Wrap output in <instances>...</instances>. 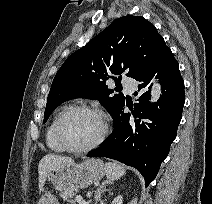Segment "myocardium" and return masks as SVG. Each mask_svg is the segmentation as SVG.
<instances>
[{"label":"myocardium","instance_id":"1","mask_svg":"<svg viewBox=\"0 0 212 204\" xmlns=\"http://www.w3.org/2000/svg\"><path fill=\"white\" fill-rule=\"evenodd\" d=\"M74 111H86L93 113L98 116L101 122V131L98 135V137L89 145L84 146V147H72L70 146L64 139L62 132H61V125L64 120V118L71 112ZM109 131V121L108 117L105 114V112L96 107V106H91V105H86V104H79V105H72L66 109H64L57 117L56 122H55V127H54V133H55V138L57 142L60 144V146L68 152L71 153H76V154H81V153H88L97 147H99L103 141L105 140L107 134Z\"/></svg>","mask_w":212,"mask_h":204}]
</instances>
